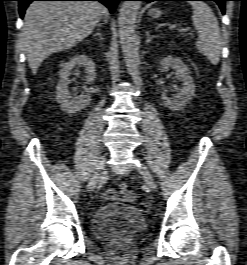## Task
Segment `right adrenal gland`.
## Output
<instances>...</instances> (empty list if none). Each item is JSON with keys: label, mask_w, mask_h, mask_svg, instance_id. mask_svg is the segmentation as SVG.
I'll return each mask as SVG.
<instances>
[{"label": "right adrenal gland", "mask_w": 247, "mask_h": 265, "mask_svg": "<svg viewBox=\"0 0 247 265\" xmlns=\"http://www.w3.org/2000/svg\"><path fill=\"white\" fill-rule=\"evenodd\" d=\"M100 27H101V24H98V25H97V33L94 34V36H98V37H100L101 39H103V38H102V34H101V32H100Z\"/></svg>", "instance_id": "right-adrenal-gland-1"}]
</instances>
